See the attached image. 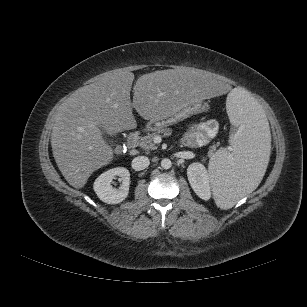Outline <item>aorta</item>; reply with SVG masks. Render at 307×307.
I'll list each match as a JSON object with an SVG mask.
<instances>
[{
	"instance_id": "aorta-1",
	"label": "aorta",
	"mask_w": 307,
	"mask_h": 307,
	"mask_svg": "<svg viewBox=\"0 0 307 307\" xmlns=\"http://www.w3.org/2000/svg\"><path fill=\"white\" fill-rule=\"evenodd\" d=\"M172 166V162L170 159L168 158H164L162 161H161V167L163 169H170Z\"/></svg>"
}]
</instances>
